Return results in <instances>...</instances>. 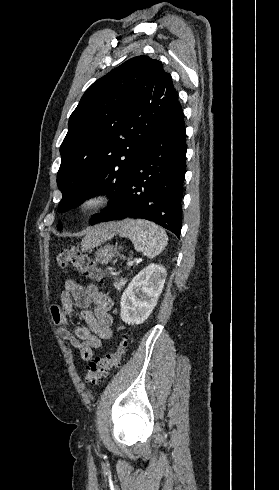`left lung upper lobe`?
Here are the masks:
<instances>
[{
    "label": "left lung upper lobe",
    "instance_id": "obj_1",
    "mask_svg": "<svg viewBox=\"0 0 279 490\" xmlns=\"http://www.w3.org/2000/svg\"><path fill=\"white\" fill-rule=\"evenodd\" d=\"M177 105L170 74L148 56L131 58L93 83L71 114L60 147L57 184L63 198L58 212L111 193L108 208L91 224L108 214L148 137ZM58 229H63L61 222Z\"/></svg>",
    "mask_w": 279,
    "mask_h": 490
}]
</instances>
